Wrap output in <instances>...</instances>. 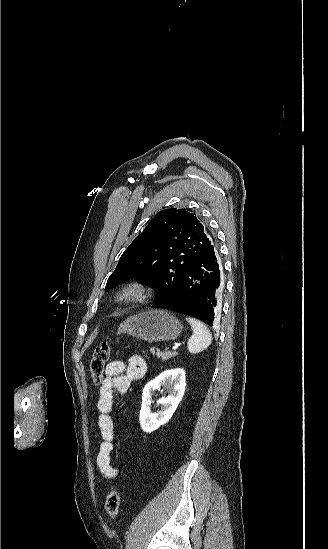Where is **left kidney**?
Masks as SVG:
<instances>
[{"instance_id": "left-kidney-1", "label": "left kidney", "mask_w": 328, "mask_h": 549, "mask_svg": "<svg viewBox=\"0 0 328 549\" xmlns=\"http://www.w3.org/2000/svg\"><path fill=\"white\" fill-rule=\"evenodd\" d=\"M162 385L170 387V395L158 399L156 403L157 405H161L162 409L161 411H158V413H152V395H154V391L160 389ZM185 387L184 369H169V371H163L154 381H149V383L145 385L142 393L140 411V425L145 433H153V431L159 429L160 425L168 423L185 393Z\"/></svg>"}]
</instances>
